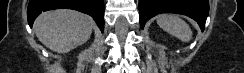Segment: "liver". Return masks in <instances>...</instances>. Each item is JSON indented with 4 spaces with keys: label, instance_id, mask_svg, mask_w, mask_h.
<instances>
[{
    "label": "liver",
    "instance_id": "obj_1",
    "mask_svg": "<svg viewBox=\"0 0 244 73\" xmlns=\"http://www.w3.org/2000/svg\"><path fill=\"white\" fill-rule=\"evenodd\" d=\"M93 26L91 17L71 9L44 12L34 23L41 43L57 53H67L84 44L90 38Z\"/></svg>",
    "mask_w": 244,
    "mask_h": 73
}]
</instances>
